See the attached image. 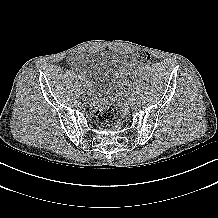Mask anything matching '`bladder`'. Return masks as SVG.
<instances>
[{"mask_svg":"<svg viewBox=\"0 0 218 218\" xmlns=\"http://www.w3.org/2000/svg\"><path fill=\"white\" fill-rule=\"evenodd\" d=\"M86 82V90L92 103H107L113 89L123 77L120 57L111 52L80 54L77 56Z\"/></svg>","mask_w":218,"mask_h":218,"instance_id":"31cf9c89","label":"bladder"}]
</instances>
